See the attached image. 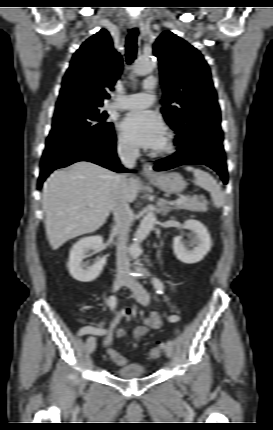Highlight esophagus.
<instances>
[{
	"mask_svg": "<svg viewBox=\"0 0 273 430\" xmlns=\"http://www.w3.org/2000/svg\"><path fill=\"white\" fill-rule=\"evenodd\" d=\"M138 25H139L138 22L131 21V22H129L128 27L129 28H135V27H138ZM142 172H143L144 175H147V176H153V175H155L153 167H152L151 163H149V162H144L143 163V165H142Z\"/></svg>",
	"mask_w": 273,
	"mask_h": 430,
	"instance_id": "1",
	"label": "esophagus"
}]
</instances>
